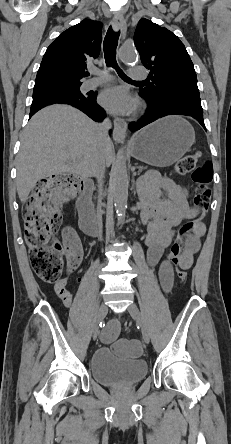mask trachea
Returning <instances> with one entry per match:
<instances>
[{"label":"trachea","mask_w":231,"mask_h":444,"mask_svg":"<svg viewBox=\"0 0 231 444\" xmlns=\"http://www.w3.org/2000/svg\"><path fill=\"white\" fill-rule=\"evenodd\" d=\"M120 35V31L115 32L112 27L110 26L103 44V50H104V57H105V63L107 67L114 68L118 75L126 81H133L130 79L127 75L124 74V72L119 68L117 62H116V47L118 43V37ZM86 75H89L87 73Z\"/></svg>","instance_id":"1"}]
</instances>
